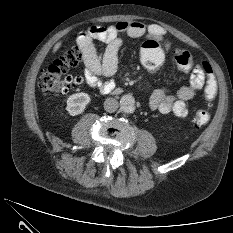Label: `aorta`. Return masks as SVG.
Listing matches in <instances>:
<instances>
[{"label": "aorta", "instance_id": "obj_1", "mask_svg": "<svg viewBox=\"0 0 233 233\" xmlns=\"http://www.w3.org/2000/svg\"><path fill=\"white\" fill-rule=\"evenodd\" d=\"M122 111L125 113H133L135 111V99L132 95H123L120 99Z\"/></svg>", "mask_w": 233, "mask_h": 233}]
</instances>
